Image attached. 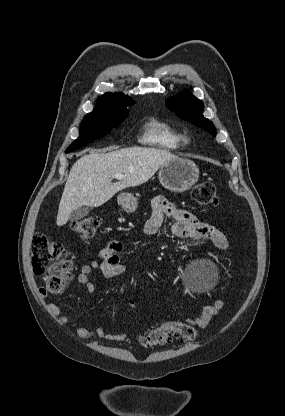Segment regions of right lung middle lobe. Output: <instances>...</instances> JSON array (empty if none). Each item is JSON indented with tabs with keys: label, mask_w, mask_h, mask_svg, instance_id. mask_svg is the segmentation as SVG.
Segmentation results:
<instances>
[{
	"label": "right lung middle lobe",
	"mask_w": 285,
	"mask_h": 416,
	"mask_svg": "<svg viewBox=\"0 0 285 416\" xmlns=\"http://www.w3.org/2000/svg\"><path fill=\"white\" fill-rule=\"evenodd\" d=\"M127 108L118 110H93L81 122L79 137L66 149L69 153L79 149L95 139L106 136L113 128L118 127L128 116Z\"/></svg>",
	"instance_id": "1"
}]
</instances>
